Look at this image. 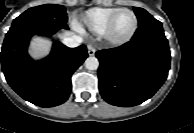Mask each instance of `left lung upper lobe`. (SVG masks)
I'll return each instance as SVG.
<instances>
[{
    "label": "left lung upper lobe",
    "instance_id": "left-lung-upper-lobe-1",
    "mask_svg": "<svg viewBox=\"0 0 194 133\" xmlns=\"http://www.w3.org/2000/svg\"><path fill=\"white\" fill-rule=\"evenodd\" d=\"M134 12L136 13V16L138 18L139 25L155 19L152 15H150L146 10L142 8L134 7Z\"/></svg>",
    "mask_w": 194,
    "mask_h": 133
}]
</instances>
